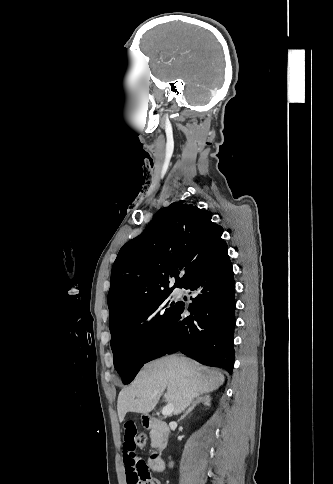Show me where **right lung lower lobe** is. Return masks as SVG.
<instances>
[{"label":"right lung lower lobe","instance_id":"98d812e1","mask_svg":"<svg viewBox=\"0 0 333 484\" xmlns=\"http://www.w3.org/2000/svg\"><path fill=\"white\" fill-rule=\"evenodd\" d=\"M225 244L185 286L195 291L188 309L180 305L174 320L147 362L177 351L200 363L232 373L234 366L235 283ZM190 312L189 316L185 311Z\"/></svg>","mask_w":333,"mask_h":484}]
</instances>
